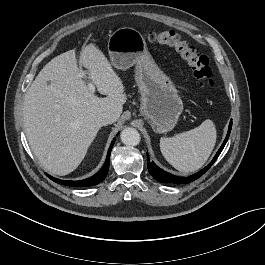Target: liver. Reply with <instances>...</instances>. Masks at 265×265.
Masks as SVG:
<instances>
[{
    "label": "liver",
    "mask_w": 265,
    "mask_h": 265,
    "mask_svg": "<svg viewBox=\"0 0 265 265\" xmlns=\"http://www.w3.org/2000/svg\"><path fill=\"white\" fill-rule=\"evenodd\" d=\"M79 62L88 77L80 74L74 49L56 56L24 98L27 140L42 167L54 175H67L82 162L101 127L97 115L109 113L116 122L126 102L122 80L95 44L82 47ZM86 78L107 97L95 96Z\"/></svg>",
    "instance_id": "obj_1"
}]
</instances>
